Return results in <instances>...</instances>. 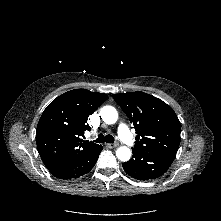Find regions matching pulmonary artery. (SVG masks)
Segmentation results:
<instances>
[{"label":"pulmonary artery","mask_w":221,"mask_h":221,"mask_svg":"<svg viewBox=\"0 0 221 221\" xmlns=\"http://www.w3.org/2000/svg\"><path fill=\"white\" fill-rule=\"evenodd\" d=\"M119 137L128 145H134V140L131 137L130 131L125 124H120L118 127Z\"/></svg>","instance_id":"1"}]
</instances>
